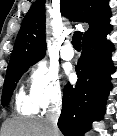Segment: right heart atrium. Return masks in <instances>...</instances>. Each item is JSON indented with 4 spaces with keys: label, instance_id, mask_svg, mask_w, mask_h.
Listing matches in <instances>:
<instances>
[{
    "label": "right heart atrium",
    "instance_id": "right-heart-atrium-1",
    "mask_svg": "<svg viewBox=\"0 0 117 136\" xmlns=\"http://www.w3.org/2000/svg\"><path fill=\"white\" fill-rule=\"evenodd\" d=\"M28 93L38 108H47L62 98L58 72L45 60L37 61L30 69Z\"/></svg>",
    "mask_w": 117,
    "mask_h": 136
}]
</instances>
